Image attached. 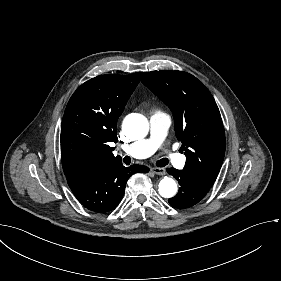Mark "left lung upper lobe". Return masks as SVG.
Here are the masks:
<instances>
[{
  "instance_id": "obj_1",
  "label": "left lung upper lobe",
  "mask_w": 281,
  "mask_h": 281,
  "mask_svg": "<svg viewBox=\"0 0 281 281\" xmlns=\"http://www.w3.org/2000/svg\"><path fill=\"white\" fill-rule=\"evenodd\" d=\"M141 80L173 112L175 134L186 155L183 170L212 186L225 155V132L209 90L182 71L142 72Z\"/></svg>"
}]
</instances>
